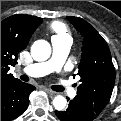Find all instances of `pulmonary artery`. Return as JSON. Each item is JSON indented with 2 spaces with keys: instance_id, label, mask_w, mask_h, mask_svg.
<instances>
[{
  "instance_id": "e3ab8cb5",
  "label": "pulmonary artery",
  "mask_w": 121,
  "mask_h": 121,
  "mask_svg": "<svg viewBox=\"0 0 121 121\" xmlns=\"http://www.w3.org/2000/svg\"><path fill=\"white\" fill-rule=\"evenodd\" d=\"M71 45L72 40L68 36L53 38V55L51 59L46 62L31 64L23 68L22 72L31 77H43L51 72L59 71L67 58ZM59 83L71 97L76 96V91L69 86L64 78H60Z\"/></svg>"
}]
</instances>
